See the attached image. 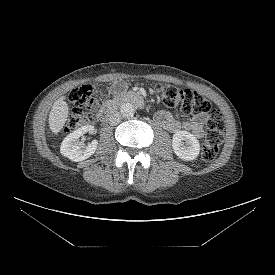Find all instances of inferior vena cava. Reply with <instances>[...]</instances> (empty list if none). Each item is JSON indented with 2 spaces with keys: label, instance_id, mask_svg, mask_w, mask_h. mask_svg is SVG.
Segmentation results:
<instances>
[{
  "label": "inferior vena cava",
  "instance_id": "inferior-vena-cava-1",
  "mask_svg": "<svg viewBox=\"0 0 275 275\" xmlns=\"http://www.w3.org/2000/svg\"><path fill=\"white\" fill-rule=\"evenodd\" d=\"M121 114L119 112H114L109 117V124L110 125H117L121 122Z\"/></svg>",
  "mask_w": 275,
  "mask_h": 275
}]
</instances>
